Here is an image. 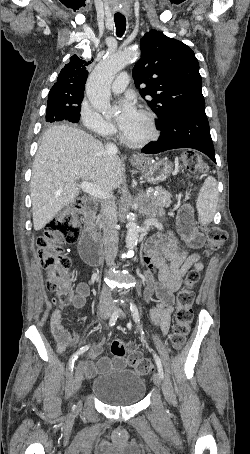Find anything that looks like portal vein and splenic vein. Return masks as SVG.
<instances>
[{"label":"portal vein and splenic vein","instance_id":"obj_1","mask_svg":"<svg viewBox=\"0 0 250 454\" xmlns=\"http://www.w3.org/2000/svg\"><path fill=\"white\" fill-rule=\"evenodd\" d=\"M79 187L83 192L93 197H97L100 199H109L110 197H112L110 193L102 191L100 188H98L95 184L91 182L84 181L79 185Z\"/></svg>","mask_w":250,"mask_h":454}]
</instances>
